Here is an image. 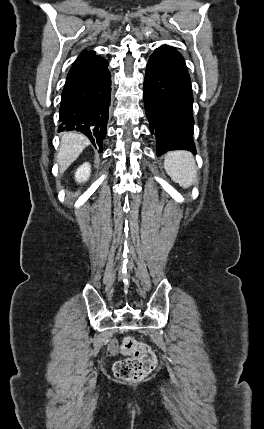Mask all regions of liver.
<instances>
[{"instance_id":"obj_1","label":"liver","mask_w":264,"mask_h":429,"mask_svg":"<svg viewBox=\"0 0 264 429\" xmlns=\"http://www.w3.org/2000/svg\"><path fill=\"white\" fill-rule=\"evenodd\" d=\"M89 144L90 141L85 135L73 131L65 132L61 136V144L57 155L60 173H63Z\"/></svg>"}]
</instances>
